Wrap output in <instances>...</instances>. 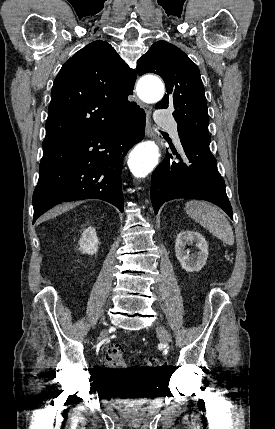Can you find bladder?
Masks as SVG:
<instances>
[{
	"label": "bladder",
	"mask_w": 275,
	"mask_h": 429,
	"mask_svg": "<svg viewBox=\"0 0 275 429\" xmlns=\"http://www.w3.org/2000/svg\"><path fill=\"white\" fill-rule=\"evenodd\" d=\"M152 377H109L107 398H117L118 403H145L153 398Z\"/></svg>",
	"instance_id": "obj_1"
}]
</instances>
